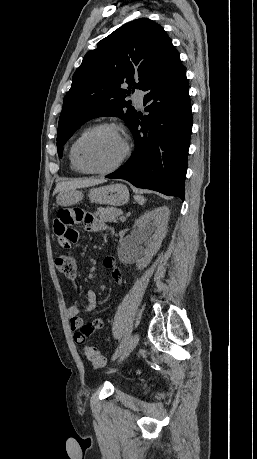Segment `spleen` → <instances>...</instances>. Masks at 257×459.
Masks as SVG:
<instances>
[{
	"label": "spleen",
	"instance_id": "1",
	"mask_svg": "<svg viewBox=\"0 0 257 459\" xmlns=\"http://www.w3.org/2000/svg\"><path fill=\"white\" fill-rule=\"evenodd\" d=\"M135 199L140 203H144L145 202V199H144L143 196H135Z\"/></svg>",
	"mask_w": 257,
	"mask_h": 459
}]
</instances>
